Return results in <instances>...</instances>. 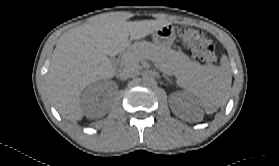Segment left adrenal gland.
Here are the masks:
<instances>
[{
  "label": "left adrenal gland",
  "mask_w": 279,
  "mask_h": 166,
  "mask_svg": "<svg viewBox=\"0 0 279 166\" xmlns=\"http://www.w3.org/2000/svg\"><path fill=\"white\" fill-rule=\"evenodd\" d=\"M165 78H166L167 80H169V78H168L167 76H166Z\"/></svg>",
  "instance_id": "left-adrenal-gland-1"
}]
</instances>
